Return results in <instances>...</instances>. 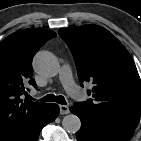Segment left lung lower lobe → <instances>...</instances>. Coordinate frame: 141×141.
Segmentation results:
<instances>
[{
  "label": "left lung lower lobe",
  "mask_w": 141,
  "mask_h": 141,
  "mask_svg": "<svg viewBox=\"0 0 141 141\" xmlns=\"http://www.w3.org/2000/svg\"><path fill=\"white\" fill-rule=\"evenodd\" d=\"M70 111L81 120L78 141H129L134 134L135 129L108 122L86 107L74 105Z\"/></svg>",
  "instance_id": "obj_1"
}]
</instances>
